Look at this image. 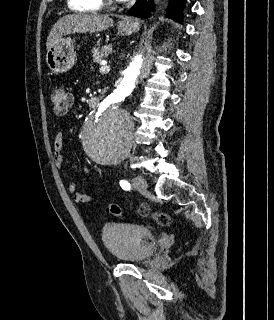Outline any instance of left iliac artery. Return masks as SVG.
<instances>
[{"instance_id": "left-iliac-artery-1", "label": "left iliac artery", "mask_w": 274, "mask_h": 320, "mask_svg": "<svg viewBox=\"0 0 274 320\" xmlns=\"http://www.w3.org/2000/svg\"><path fill=\"white\" fill-rule=\"evenodd\" d=\"M120 186L124 190H130V188H131L130 183L128 181H126V180H121L120 181Z\"/></svg>"}]
</instances>
